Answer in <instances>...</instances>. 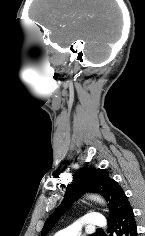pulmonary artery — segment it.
<instances>
[{
	"mask_svg": "<svg viewBox=\"0 0 145 236\" xmlns=\"http://www.w3.org/2000/svg\"><path fill=\"white\" fill-rule=\"evenodd\" d=\"M104 225L105 219L103 215L92 213L77 220L67 228L60 230L55 236H80L83 227H103Z\"/></svg>",
	"mask_w": 145,
	"mask_h": 236,
	"instance_id": "obj_1",
	"label": "pulmonary artery"
}]
</instances>
